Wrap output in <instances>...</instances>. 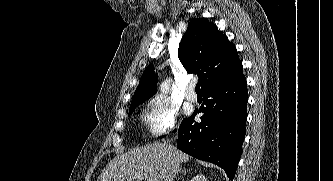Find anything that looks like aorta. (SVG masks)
Returning a JSON list of instances; mask_svg holds the SVG:
<instances>
[{
	"mask_svg": "<svg viewBox=\"0 0 333 181\" xmlns=\"http://www.w3.org/2000/svg\"><path fill=\"white\" fill-rule=\"evenodd\" d=\"M160 92L163 93V94H168L169 90H170V79H166L165 81H163L161 84H160Z\"/></svg>",
	"mask_w": 333,
	"mask_h": 181,
	"instance_id": "aorta-1",
	"label": "aorta"
}]
</instances>
